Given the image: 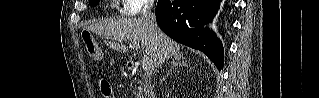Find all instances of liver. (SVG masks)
<instances>
[{"label": "liver", "instance_id": "1", "mask_svg": "<svg viewBox=\"0 0 319 98\" xmlns=\"http://www.w3.org/2000/svg\"><path fill=\"white\" fill-rule=\"evenodd\" d=\"M88 29L105 38L116 37L119 41L138 42L153 62V66L161 67L165 60L180 54V45L165 35L158 27L149 31L142 18H122L105 20L91 24ZM119 52L126 53L127 46L108 43Z\"/></svg>", "mask_w": 319, "mask_h": 98}]
</instances>
